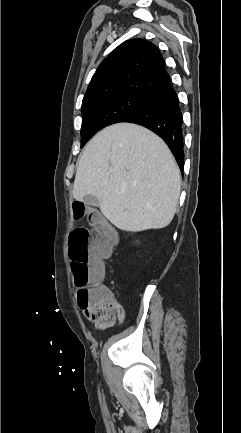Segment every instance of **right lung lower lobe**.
I'll return each mask as SVG.
<instances>
[{"instance_id":"right-lung-lower-lobe-1","label":"right lung lower lobe","mask_w":241,"mask_h":433,"mask_svg":"<svg viewBox=\"0 0 241 433\" xmlns=\"http://www.w3.org/2000/svg\"><path fill=\"white\" fill-rule=\"evenodd\" d=\"M122 122L142 125L160 136L174 154L183 171V117L171 81L152 89L143 105Z\"/></svg>"}]
</instances>
